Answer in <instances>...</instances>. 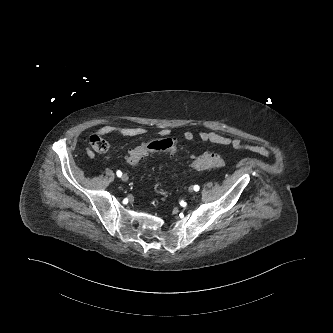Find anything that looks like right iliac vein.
<instances>
[{
	"instance_id": "1",
	"label": "right iliac vein",
	"mask_w": 333,
	"mask_h": 333,
	"mask_svg": "<svg viewBox=\"0 0 333 333\" xmlns=\"http://www.w3.org/2000/svg\"><path fill=\"white\" fill-rule=\"evenodd\" d=\"M121 179H122V181L126 182V181H128L129 177H128V175L123 174V175L121 176Z\"/></svg>"
}]
</instances>
